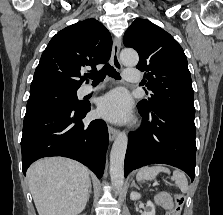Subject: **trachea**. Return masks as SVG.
<instances>
[{
  "instance_id": "1",
  "label": "trachea",
  "mask_w": 223,
  "mask_h": 215,
  "mask_svg": "<svg viewBox=\"0 0 223 215\" xmlns=\"http://www.w3.org/2000/svg\"><path fill=\"white\" fill-rule=\"evenodd\" d=\"M106 75H109V77L115 78L116 80H120L121 78L120 74L115 70V68L111 67L109 63H106V65H104V67L99 70V72L87 75V77L91 78L93 83H100L104 80Z\"/></svg>"
}]
</instances>
